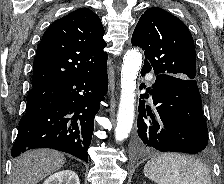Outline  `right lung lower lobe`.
Masks as SVG:
<instances>
[{
	"instance_id": "right-lung-lower-lobe-1",
	"label": "right lung lower lobe",
	"mask_w": 224,
	"mask_h": 184,
	"mask_svg": "<svg viewBox=\"0 0 224 184\" xmlns=\"http://www.w3.org/2000/svg\"><path fill=\"white\" fill-rule=\"evenodd\" d=\"M107 89V65L87 75L32 87L11 156L52 148L88 162L94 117Z\"/></svg>"
}]
</instances>
